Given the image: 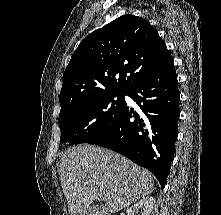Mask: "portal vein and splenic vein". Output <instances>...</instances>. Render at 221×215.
I'll list each match as a JSON object with an SVG mask.
<instances>
[{"label":"portal vein and splenic vein","mask_w":221,"mask_h":215,"mask_svg":"<svg viewBox=\"0 0 221 215\" xmlns=\"http://www.w3.org/2000/svg\"><path fill=\"white\" fill-rule=\"evenodd\" d=\"M97 198H98V200H103L104 199L103 196H101V195H99Z\"/></svg>","instance_id":"portal-vein-and-splenic-vein-1"}]
</instances>
